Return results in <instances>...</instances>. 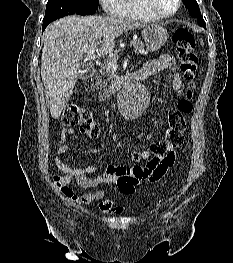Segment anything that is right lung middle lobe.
Returning <instances> with one entry per match:
<instances>
[{"label": "right lung middle lobe", "instance_id": "dd1d6c3e", "mask_svg": "<svg viewBox=\"0 0 233 263\" xmlns=\"http://www.w3.org/2000/svg\"><path fill=\"white\" fill-rule=\"evenodd\" d=\"M99 0H48L44 21L52 22L66 15H88L96 12Z\"/></svg>", "mask_w": 233, "mask_h": 263}]
</instances>
